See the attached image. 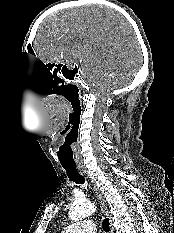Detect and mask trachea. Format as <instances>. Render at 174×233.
I'll list each match as a JSON object with an SVG mask.
<instances>
[{
  "mask_svg": "<svg viewBox=\"0 0 174 233\" xmlns=\"http://www.w3.org/2000/svg\"><path fill=\"white\" fill-rule=\"evenodd\" d=\"M67 176L69 179L77 184H84L85 179L84 177L78 172L76 167H64ZM102 228L103 230L108 233L110 228H109V219L105 218L102 222Z\"/></svg>",
  "mask_w": 174,
  "mask_h": 233,
  "instance_id": "obj_1",
  "label": "trachea"
}]
</instances>
